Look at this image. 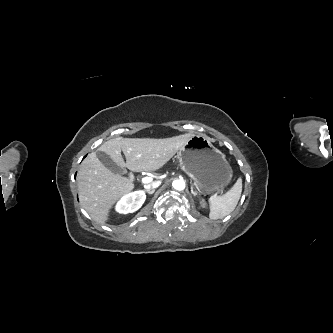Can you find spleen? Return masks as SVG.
I'll return each instance as SVG.
<instances>
[{
	"label": "spleen",
	"instance_id": "spleen-1",
	"mask_svg": "<svg viewBox=\"0 0 333 333\" xmlns=\"http://www.w3.org/2000/svg\"><path fill=\"white\" fill-rule=\"evenodd\" d=\"M242 192V179L239 178L233 187L222 196L213 195L209 198L210 219H221L236 208Z\"/></svg>",
	"mask_w": 333,
	"mask_h": 333
}]
</instances>
